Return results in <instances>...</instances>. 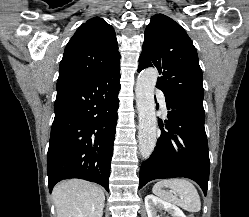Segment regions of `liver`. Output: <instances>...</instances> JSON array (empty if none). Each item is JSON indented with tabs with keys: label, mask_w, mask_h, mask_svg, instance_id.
<instances>
[{
	"label": "liver",
	"mask_w": 249,
	"mask_h": 217,
	"mask_svg": "<svg viewBox=\"0 0 249 217\" xmlns=\"http://www.w3.org/2000/svg\"><path fill=\"white\" fill-rule=\"evenodd\" d=\"M57 217H102L104 192L90 182L71 179L57 184L52 192Z\"/></svg>",
	"instance_id": "obj_1"
}]
</instances>
